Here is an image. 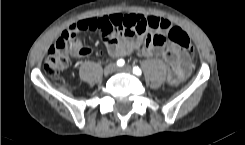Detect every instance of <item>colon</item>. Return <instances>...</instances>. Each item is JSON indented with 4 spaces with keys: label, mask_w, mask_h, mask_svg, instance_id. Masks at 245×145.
<instances>
[{
    "label": "colon",
    "mask_w": 245,
    "mask_h": 145,
    "mask_svg": "<svg viewBox=\"0 0 245 145\" xmlns=\"http://www.w3.org/2000/svg\"><path fill=\"white\" fill-rule=\"evenodd\" d=\"M77 30L72 26L63 31L52 48L49 50L45 59L43 70L47 76L53 77L60 74L67 65L68 58L72 55L81 56L85 53L84 48H74L72 41L76 38ZM157 45L172 43L184 49L193 51L194 45L188 35L179 27H171L163 34L155 36Z\"/></svg>",
    "instance_id": "1"
}]
</instances>
